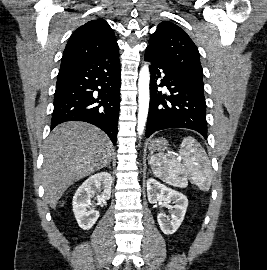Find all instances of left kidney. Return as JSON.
<instances>
[{
  "label": "left kidney",
  "instance_id": "obj_1",
  "mask_svg": "<svg viewBox=\"0 0 267 270\" xmlns=\"http://www.w3.org/2000/svg\"><path fill=\"white\" fill-rule=\"evenodd\" d=\"M147 196L150 203L163 201L165 206L170 208V218L164 213L157 216V221L162 232L171 235L180 227L186 214L188 199L182 193L160 183L154 178L147 180ZM173 203L174 205H169Z\"/></svg>",
  "mask_w": 267,
  "mask_h": 270
}]
</instances>
